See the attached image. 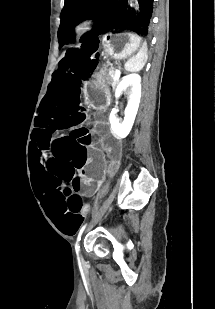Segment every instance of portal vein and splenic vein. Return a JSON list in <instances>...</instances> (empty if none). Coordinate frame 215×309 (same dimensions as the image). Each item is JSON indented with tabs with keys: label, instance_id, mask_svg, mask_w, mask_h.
I'll return each mask as SVG.
<instances>
[{
	"label": "portal vein and splenic vein",
	"instance_id": "18ae733b",
	"mask_svg": "<svg viewBox=\"0 0 215 309\" xmlns=\"http://www.w3.org/2000/svg\"><path fill=\"white\" fill-rule=\"evenodd\" d=\"M120 74H121L120 70H115V76H114V78H116V76H120Z\"/></svg>",
	"mask_w": 215,
	"mask_h": 309
}]
</instances>
